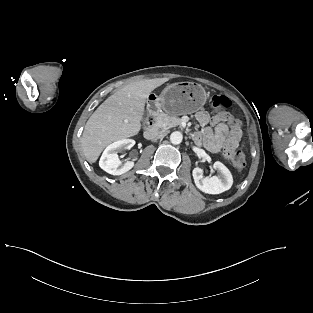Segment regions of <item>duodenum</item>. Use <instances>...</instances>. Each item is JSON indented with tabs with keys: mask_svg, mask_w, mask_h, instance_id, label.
Returning a JSON list of instances; mask_svg holds the SVG:
<instances>
[{
	"mask_svg": "<svg viewBox=\"0 0 313 313\" xmlns=\"http://www.w3.org/2000/svg\"><path fill=\"white\" fill-rule=\"evenodd\" d=\"M157 135H158V129L154 124L152 126L148 127L145 131V137L147 139L152 140V139L156 138Z\"/></svg>",
	"mask_w": 313,
	"mask_h": 313,
	"instance_id": "1",
	"label": "duodenum"
}]
</instances>
